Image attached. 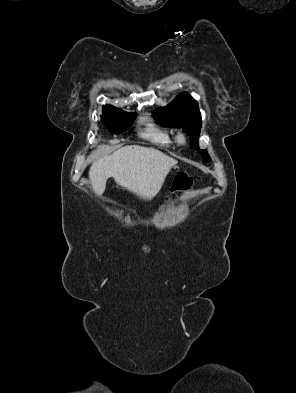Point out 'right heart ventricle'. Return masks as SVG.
<instances>
[{
	"label": "right heart ventricle",
	"instance_id": "e07e8e85",
	"mask_svg": "<svg viewBox=\"0 0 296 393\" xmlns=\"http://www.w3.org/2000/svg\"><path fill=\"white\" fill-rule=\"evenodd\" d=\"M143 136L159 145L168 146L173 144L174 137L166 129L159 127L153 123H149L145 129Z\"/></svg>",
	"mask_w": 296,
	"mask_h": 393
}]
</instances>
